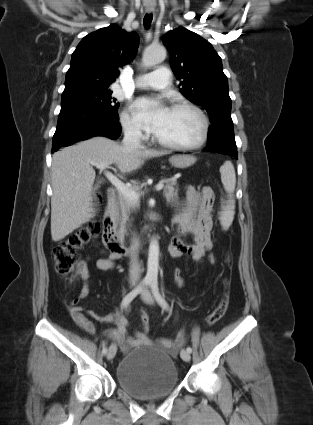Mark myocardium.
<instances>
[{
  "instance_id": "obj_1",
  "label": "myocardium",
  "mask_w": 313,
  "mask_h": 425,
  "mask_svg": "<svg viewBox=\"0 0 313 425\" xmlns=\"http://www.w3.org/2000/svg\"><path fill=\"white\" fill-rule=\"evenodd\" d=\"M171 109L178 110V109H185L192 111L195 113L200 121H201V134L199 139L192 144H175L170 143L167 141H164L160 139L157 135L154 136V140L161 146L172 149V150H178V151H193L201 148L207 141L210 131V123L207 115L205 112L199 108L197 105L190 103V102H177L171 106Z\"/></svg>"
}]
</instances>
